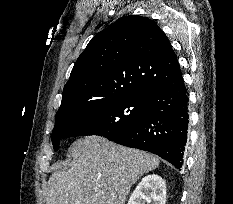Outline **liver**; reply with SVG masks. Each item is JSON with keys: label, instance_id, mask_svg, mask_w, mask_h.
<instances>
[{"label": "liver", "instance_id": "liver-1", "mask_svg": "<svg viewBox=\"0 0 233 204\" xmlns=\"http://www.w3.org/2000/svg\"><path fill=\"white\" fill-rule=\"evenodd\" d=\"M68 170L49 178L46 204H125L132 185L159 166V158L99 136L77 139Z\"/></svg>", "mask_w": 233, "mask_h": 204}]
</instances>
